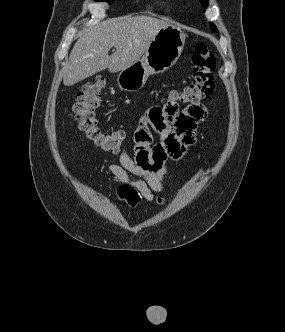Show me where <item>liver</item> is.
Masks as SVG:
<instances>
[{
	"label": "liver",
	"instance_id": "obj_1",
	"mask_svg": "<svg viewBox=\"0 0 285 332\" xmlns=\"http://www.w3.org/2000/svg\"><path fill=\"white\" fill-rule=\"evenodd\" d=\"M171 23L149 16L119 17L95 23L80 32L63 74L71 86L108 69L122 71L138 62L155 35ZM112 47L116 48L111 56Z\"/></svg>",
	"mask_w": 285,
	"mask_h": 332
}]
</instances>
